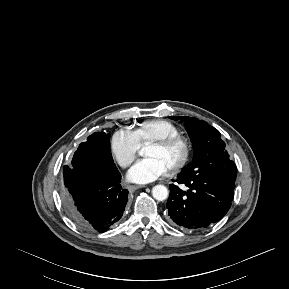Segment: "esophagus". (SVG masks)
Returning a JSON list of instances; mask_svg holds the SVG:
<instances>
[{
    "instance_id": "34e87169",
    "label": "esophagus",
    "mask_w": 289,
    "mask_h": 289,
    "mask_svg": "<svg viewBox=\"0 0 289 289\" xmlns=\"http://www.w3.org/2000/svg\"><path fill=\"white\" fill-rule=\"evenodd\" d=\"M141 187H143V186H141V185H130L128 187V189H129V191L133 192V191H135V190H137V189H139Z\"/></svg>"
}]
</instances>
